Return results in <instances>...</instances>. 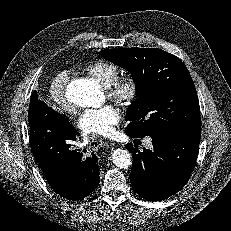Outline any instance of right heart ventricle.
I'll return each instance as SVG.
<instances>
[{
	"mask_svg": "<svg viewBox=\"0 0 231 231\" xmlns=\"http://www.w3.org/2000/svg\"><path fill=\"white\" fill-rule=\"evenodd\" d=\"M84 71L89 77L105 88L111 86L121 74L120 69L108 61H96L85 67Z\"/></svg>",
	"mask_w": 231,
	"mask_h": 231,
	"instance_id": "obj_1",
	"label": "right heart ventricle"
}]
</instances>
